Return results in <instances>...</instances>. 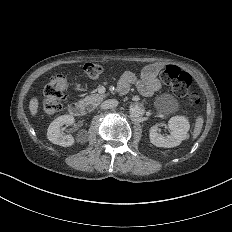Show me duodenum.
Returning <instances> with one entry per match:
<instances>
[{
  "label": "duodenum",
  "mask_w": 232,
  "mask_h": 232,
  "mask_svg": "<svg viewBox=\"0 0 232 232\" xmlns=\"http://www.w3.org/2000/svg\"><path fill=\"white\" fill-rule=\"evenodd\" d=\"M69 112L71 115H73L75 117H81L84 113V108L80 103L74 102V103L70 104Z\"/></svg>",
  "instance_id": "obj_1"
}]
</instances>
